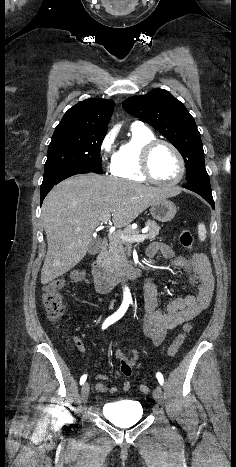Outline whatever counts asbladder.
Instances as JSON below:
<instances>
[{"label":"bladder","instance_id":"obj_1","mask_svg":"<svg viewBox=\"0 0 236 467\" xmlns=\"http://www.w3.org/2000/svg\"><path fill=\"white\" fill-rule=\"evenodd\" d=\"M102 414L117 426H128L142 419L143 408L138 401L120 400L106 403Z\"/></svg>","mask_w":236,"mask_h":467}]
</instances>
